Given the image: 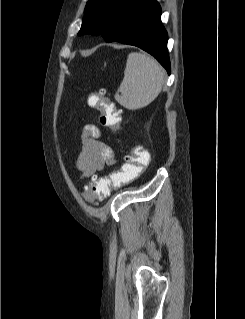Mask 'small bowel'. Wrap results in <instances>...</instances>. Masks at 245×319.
<instances>
[{
  "label": "small bowel",
  "instance_id": "c3829d8e",
  "mask_svg": "<svg viewBox=\"0 0 245 319\" xmlns=\"http://www.w3.org/2000/svg\"><path fill=\"white\" fill-rule=\"evenodd\" d=\"M81 150L77 168L82 177L88 178L114 164V151L101 140V132L96 125L87 124L81 129Z\"/></svg>",
  "mask_w": 245,
  "mask_h": 319
}]
</instances>
